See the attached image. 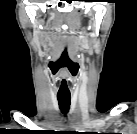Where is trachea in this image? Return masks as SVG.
Instances as JSON below:
<instances>
[{"label":"trachea","instance_id":"obj_1","mask_svg":"<svg viewBox=\"0 0 137 134\" xmlns=\"http://www.w3.org/2000/svg\"><path fill=\"white\" fill-rule=\"evenodd\" d=\"M59 108L63 114H67L70 109V95H57Z\"/></svg>","mask_w":137,"mask_h":134}]
</instances>
